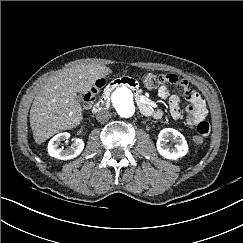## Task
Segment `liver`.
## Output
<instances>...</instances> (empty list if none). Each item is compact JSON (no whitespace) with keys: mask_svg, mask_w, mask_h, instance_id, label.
Returning a JSON list of instances; mask_svg holds the SVG:
<instances>
[{"mask_svg":"<svg viewBox=\"0 0 243 243\" xmlns=\"http://www.w3.org/2000/svg\"><path fill=\"white\" fill-rule=\"evenodd\" d=\"M111 72L104 65L80 64L42 83L29 115L35 142L41 144L60 131L78 126L83 114L77 93H87L96 80Z\"/></svg>","mask_w":243,"mask_h":243,"instance_id":"6515ba94","label":"liver"}]
</instances>
